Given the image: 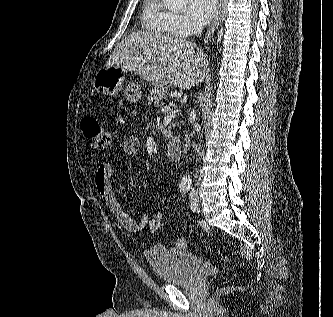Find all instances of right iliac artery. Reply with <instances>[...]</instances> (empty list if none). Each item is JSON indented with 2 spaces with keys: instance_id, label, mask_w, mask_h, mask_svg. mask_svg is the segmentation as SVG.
<instances>
[{
  "instance_id": "right-iliac-artery-1",
  "label": "right iliac artery",
  "mask_w": 333,
  "mask_h": 317,
  "mask_svg": "<svg viewBox=\"0 0 333 317\" xmlns=\"http://www.w3.org/2000/svg\"><path fill=\"white\" fill-rule=\"evenodd\" d=\"M189 188H190L189 185H186V184L181 185V189H182L183 191H186V190H188Z\"/></svg>"
}]
</instances>
